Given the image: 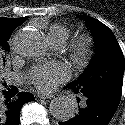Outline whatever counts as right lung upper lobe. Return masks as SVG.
I'll use <instances>...</instances> for the list:
<instances>
[{
	"label": "right lung upper lobe",
	"instance_id": "1",
	"mask_svg": "<svg viewBox=\"0 0 125 125\" xmlns=\"http://www.w3.org/2000/svg\"><path fill=\"white\" fill-rule=\"evenodd\" d=\"M25 20H26L25 17L23 18H1L0 17V26L14 27L16 29Z\"/></svg>",
	"mask_w": 125,
	"mask_h": 125
}]
</instances>
